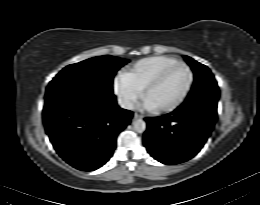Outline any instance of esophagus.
Segmentation results:
<instances>
[{
	"label": "esophagus",
	"instance_id": "1",
	"mask_svg": "<svg viewBox=\"0 0 260 205\" xmlns=\"http://www.w3.org/2000/svg\"><path fill=\"white\" fill-rule=\"evenodd\" d=\"M142 118L143 116L140 115L139 113H134L133 120L142 119Z\"/></svg>",
	"mask_w": 260,
	"mask_h": 205
}]
</instances>
